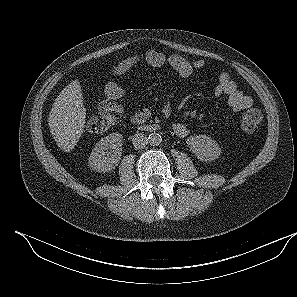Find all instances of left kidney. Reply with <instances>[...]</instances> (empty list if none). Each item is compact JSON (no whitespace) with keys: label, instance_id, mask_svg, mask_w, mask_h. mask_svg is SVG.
Listing matches in <instances>:
<instances>
[{"label":"left kidney","instance_id":"left-kidney-1","mask_svg":"<svg viewBox=\"0 0 297 297\" xmlns=\"http://www.w3.org/2000/svg\"><path fill=\"white\" fill-rule=\"evenodd\" d=\"M186 143L200 161H213L218 159L221 154L218 143L206 135L190 136Z\"/></svg>","mask_w":297,"mask_h":297}]
</instances>
